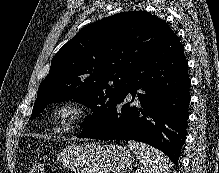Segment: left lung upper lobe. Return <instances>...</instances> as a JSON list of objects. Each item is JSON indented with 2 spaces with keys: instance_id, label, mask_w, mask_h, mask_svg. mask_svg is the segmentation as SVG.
<instances>
[{
  "instance_id": "5c2ea615",
  "label": "left lung upper lobe",
  "mask_w": 219,
  "mask_h": 173,
  "mask_svg": "<svg viewBox=\"0 0 219 173\" xmlns=\"http://www.w3.org/2000/svg\"><path fill=\"white\" fill-rule=\"evenodd\" d=\"M171 32L164 20L144 11L116 14L84 27L53 57L31 119L50 103L74 99L93 110L80 135L97 131L131 89L134 67Z\"/></svg>"
}]
</instances>
